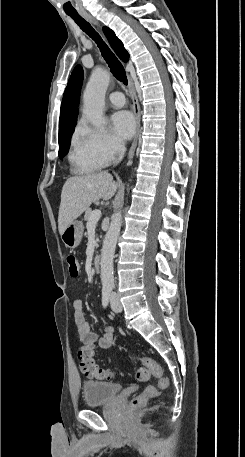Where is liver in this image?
Masks as SVG:
<instances>
[{"label": "liver", "instance_id": "obj_1", "mask_svg": "<svg viewBox=\"0 0 245 457\" xmlns=\"http://www.w3.org/2000/svg\"><path fill=\"white\" fill-rule=\"evenodd\" d=\"M116 190L117 182L109 172H90L85 176L67 178L61 192L58 216L60 235L94 200H109Z\"/></svg>", "mask_w": 245, "mask_h": 457}]
</instances>
